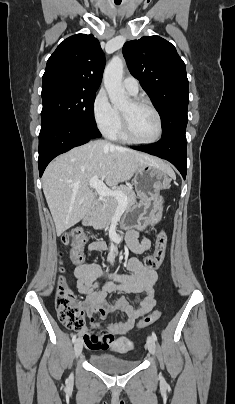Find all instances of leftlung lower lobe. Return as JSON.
I'll return each mask as SVG.
<instances>
[{
	"instance_id": "obj_1",
	"label": "left lung lower lobe",
	"mask_w": 235,
	"mask_h": 404,
	"mask_svg": "<svg viewBox=\"0 0 235 404\" xmlns=\"http://www.w3.org/2000/svg\"><path fill=\"white\" fill-rule=\"evenodd\" d=\"M134 149L147 152L171 162L186 178L187 146L185 132H175L163 136L161 140L150 147H134Z\"/></svg>"
}]
</instances>
